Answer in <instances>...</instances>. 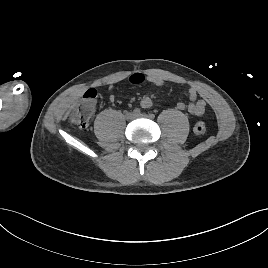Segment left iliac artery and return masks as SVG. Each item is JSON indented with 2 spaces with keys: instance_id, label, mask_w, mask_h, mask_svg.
Masks as SVG:
<instances>
[{
  "instance_id": "1",
  "label": "left iliac artery",
  "mask_w": 268,
  "mask_h": 268,
  "mask_svg": "<svg viewBox=\"0 0 268 268\" xmlns=\"http://www.w3.org/2000/svg\"><path fill=\"white\" fill-rule=\"evenodd\" d=\"M149 118L150 119H154L155 118V115L151 113V114H149Z\"/></svg>"
}]
</instances>
